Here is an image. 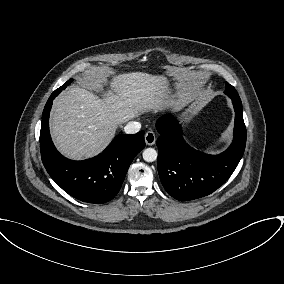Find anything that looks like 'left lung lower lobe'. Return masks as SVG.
<instances>
[{"mask_svg":"<svg viewBox=\"0 0 284 284\" xmlns=\"http://www.w3.org/2000/svg\"><path fill=\"white\" fill-rule=\"evenodd\" d=\"M232 103L235 110L234 139L230 147L218 155L191 148L172 116L158 119V173L163 187L175 199L188 201L209 195L236 169L245 150L246 127L241 100L232 99Z\"/></svg>","mask_w":284,"mask_h":284,"instance_id":"obj_1","label":"left lung lower lobe"}]
</instances>
